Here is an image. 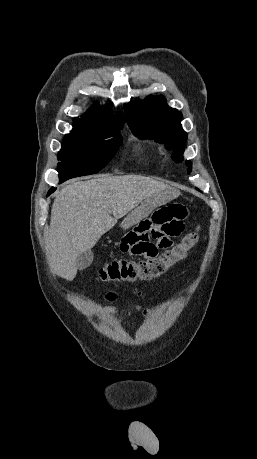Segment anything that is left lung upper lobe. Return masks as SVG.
<instances>
[{
	"label": "left lung upper lobe",
	"instance_id": "obj_1",
	"mask_svg": "<svg viewBox=\"0 0 257 459\" xmlns=\"http://www.w3.org/2000/svg\"><path fill=\"white\" fill-rule=\"evenodd\" d=\"M127 123L133 134L141 139H154L173 150L172 158L183 161L187 134L181 127L182 114L168 107L163 96H148L143 101L124 105ZM189 167L192 163L186 162ZM191 169H188V173Z\"/></svg>",
	"mask_w": 257,
	"mask_h": 459
}]
</instances>
